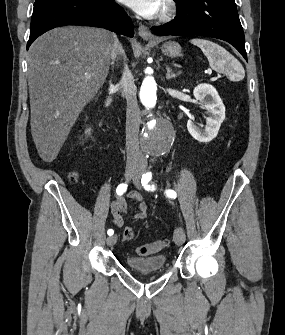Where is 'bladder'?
Here are the masks:
<instances>
[{
  "mask_svg": "<svg viewBox=\"0 0 285 335\" xmlns=\"http://www.w3.org/2000/svg\"><path fill=\"white\" fill-rule=\"evenodd\" d=\"M127 265H132L133 273H160L158 265H164V258H168L164 252L154 253L150 256L137 257L126 255Z\"/></svg>",
  "mask_w": 285,
  "mask_h": 335,
  "instance_id": "bladder-1",
  "label": "bladder"
}]
</instances>
